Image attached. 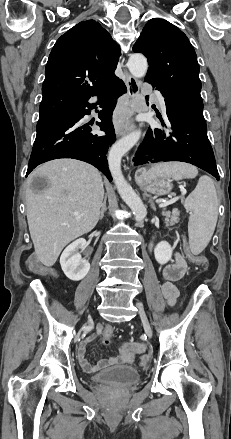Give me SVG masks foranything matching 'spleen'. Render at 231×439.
<instances>
[{
	"mask_svg": "<svg viewBox=\"0 0 231 439\" xmlns=\"http://www.w3.org/2000/svg\"><path fill=\"white\" fill-rule=\"evenodd\" d=\"M198 175L196 167L182 162L161 163L148 171L149 178L164 177L181 180ZM184 207L190 211L188 233L190 249L200 254L208 245L218 218V198L212 179L201 176L194 191L185 199Z\"/></svg>",
	"mask_w": 231,
	"mask_h": 439,
	"instance_id": "obj_1",
	"label": "spleen"
}]
</instances>
